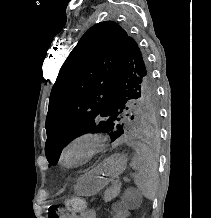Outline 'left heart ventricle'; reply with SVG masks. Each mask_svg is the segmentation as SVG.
<instances>
[{
  "label": "left heart ventricle",
  "mask_w": 211,
  "mask_h": 218,
  "mask_svg": "<svg viewBox=\"0 0 211 218\" xmlns=\"http://www.w3.org/2000/svg\"><path fill=\"white\" fill-rule=\"evenodd\" d=\"M83 154V151L82 150H75L73 155H72V159H76V158H79L81 157Z\"/></svg>",
  "instance_id": "1"
}]
</instances>
